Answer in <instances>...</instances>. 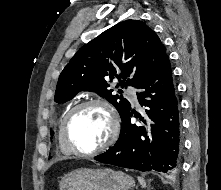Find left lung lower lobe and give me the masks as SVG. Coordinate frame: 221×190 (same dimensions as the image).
I'll use <instances>...</instances> for the list:
<instances>
[{
	"mask_svg": "<svg viewBox=\"0 0 221 190\" xmlns=\"http://www.w3.org/2000/svg\"><path fill=\"white\" fill-rule=\"evenodd\" d=\"M141 114L130 110L121 118L116 144L95 160L111 165L155 170L174 175L180 169L182 151L179 103L168 55L137 86ZM141 125L131 124L132 115Z\"/></svg>",
	"mask_w": 221,
	"mask_h": 190,
	"instance_id": "0a47b994",
	"label": "left lung lower lobe"
}]
</instances>
